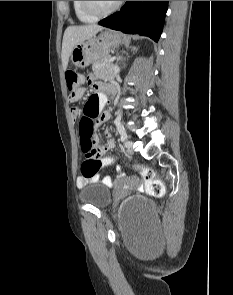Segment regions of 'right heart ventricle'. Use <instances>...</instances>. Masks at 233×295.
I'll return each mask as SVG.
<instances>
[{
	"mask_svg": "<svg viewBox=\"0 0 233 295\" xmlns=\"http://www.w3.org/2000/svg\"><path fill=\"white\" fill-rule=\"evenodd\" d=\"M72 6H73V10L74 13L77 17L78 20H80L81 22H85V23H90L95 21L97 18L87 14L82 6H81V1H72Z\"/></svg>",
	"mask_w": 233,
	"mask_h": 295,
	"instance_id": "obj_1",
	"label": "right heart ventricle"
}]
</instances>
